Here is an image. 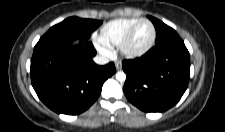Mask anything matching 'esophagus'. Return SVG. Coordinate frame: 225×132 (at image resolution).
Listing matches in <instances>:
<instances>
[{"instance_id": "esophagus-1", "label": "esophagus", "mask_w": 225, "mask_h": 132, "mask_svg": "<svg viewBox=\"0 0 225 132\" xmlns=\"http://www.w3.org/2000/svg\"><path fill=\"white\" fill-rule=\"evenodd\" d=\"M115 67H116L117 70H121L122 69V63L120 61H116Z\"/></svg>"}]
</instances>
